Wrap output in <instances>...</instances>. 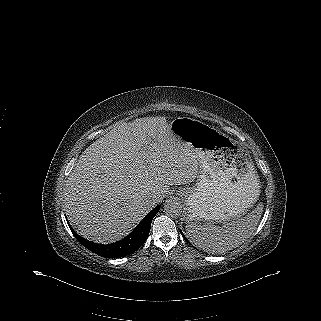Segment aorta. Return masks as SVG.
Returning <instances> with one entry per match:
<instances>
[{"mask_svg": "<svg viewBox=\"0 0 321 321\" xmlns=\"http://www.w3.org/2000/svg\"><path fill=\"white\" fill-rule=\"evenodd\" d=\"M164 212L170 217H179L182 213V206L177 200L170 199L164 204Z\"/></svg>", "mask_w": 321, "mask_h": 321, "instance_id": "obj_1", "label": "aorta"}]
</instances>
